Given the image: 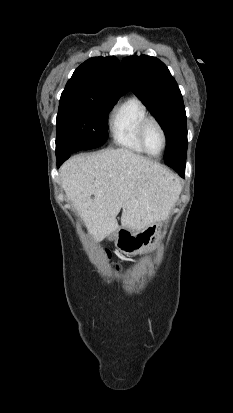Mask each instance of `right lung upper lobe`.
<instances>
[{
  "instance_id": "obj_1",
  "label": "right lung upper lobe",
  "mask_w": 233,
  "mask_h": 413,
  "mask_svg": "<svg viewBox=\"0 0 233 413\" xmlns=\"http://www.w3.org/2000/svg\"><path fill=\"white\" fill-rule=\"evenodd\" d=\"M127 91L119 60L108 56L93 57L82 63L68 80L62 94L119 99Z\"/></svg>"
}]
</instances>
